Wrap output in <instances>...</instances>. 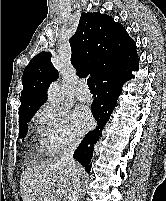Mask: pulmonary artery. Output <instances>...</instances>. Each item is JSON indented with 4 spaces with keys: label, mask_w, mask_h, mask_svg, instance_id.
Returning <instances> with one entry per match:
<instances>
[{
    "label": "pulmonary artery",
    "mask_w": 166,
    "mask_h": 201,
    "mask_svg": "<svg viewBox=\"0 0 166 201\" xmlns=\"http://www.w3.org/2000/svg\"><path fill=\"white\" fill-rule=\"evenodd\" d=\"M76 98L81 102H89L92 98L86 83H81L76 91Z\"/></svg>",
    "instance_id": "e3ab8cb5"
}]
</instances>
